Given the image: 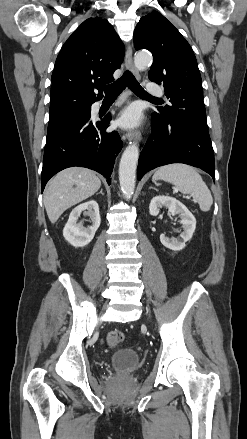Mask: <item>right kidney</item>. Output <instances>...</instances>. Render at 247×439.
I'll return each instance as SVG.
<instances>
[{"mask_svg": "<svg viewBox=\"0 0 247 439\" xmlns=\"http://www.w3.org/2000/svg\"><path fill=\"white\" fill-rule=\"evenodd\" d=\"M81 213L88 215L92 221V225L85 228L78 218ZM101 223L99 214V206L95 200H90L80 204L72 210L69 219L63 229V236L67 242L75 247H84L88 245Z\"/></svg>", "mask_w": 247, "mask_h": 439, "instance_id": "right-kidney-1", "label": "right kidney"}]
</instances>
